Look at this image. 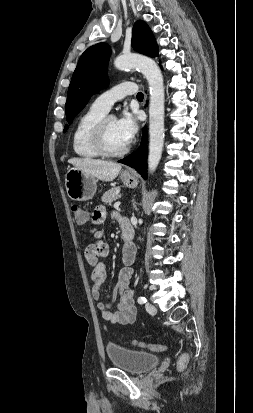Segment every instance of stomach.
<instances>
[{
  "mask_svg": "<svg viewBox=\"0 0 253 413\" xmlns=\"http://www.w3.org/2000/svg\"><path fill=\"white\" fill-rule=\"evenodd\" d=\"M120 179L129 188H135L138 184L135 175L122 172ZM65 187L67 195L74 201H87L93 198L97 190V180L95 177L78 169L69 168L65 174Z\"/></svg>",
  "mask_w": 253,
  "mask_h": 413,
  "instance_id": "obj_1",
  "label": "stomach"
}]
</instances>
